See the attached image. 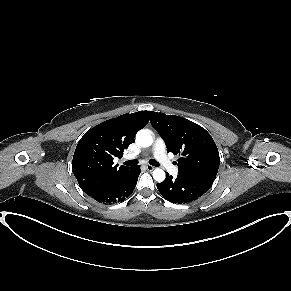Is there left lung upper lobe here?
Segmentation results:
<instances>
[{
    "label": "left lung upper lobe",
    "instance_id": "obj_1",
    "mask_svg": "<svg viewBox=\"0 0 291 291\" xmlns=\"http://www.w3.org/2000/svg\"><path fill=\"white\" fill-rule=\"evenodd\" d=\"M150 122L164 139L167 152L179 154V175L214 181L220 165L217 146L211 135L185 118L150 112Z\"/></svg>",
    "mask_w": 291,
    "mask_h": 291
}]
</instances>
